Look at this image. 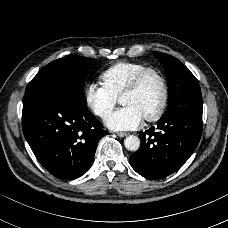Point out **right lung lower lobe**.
Returning <instances> with one entry per match:
<instances>
[{
	"mask_svg": "<svg viewBox=\"0 0 228 228\" xmlns=\"http://www.w3.org/2000/svg\"><path fill=\"white\" fill-rule=\"evenodd\" d=\"M102 127L87 105L64 94L24 96V136L41 165L59 179H76L89 169L98 141L108 133Z\"/></svg>",
	"mask_w": 228,
	"mask_h": 228,
	"instance_id": "right-lung-lower-lobe-1",
	"label": "right lung lower lobe"
}]
</instances>
